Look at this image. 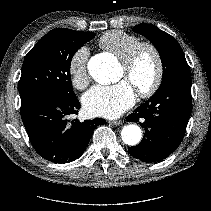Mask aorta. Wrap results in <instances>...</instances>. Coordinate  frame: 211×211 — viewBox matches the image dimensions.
I'll list each match as a JSON object with an SVG mask.
<instances>
[{
  "label": "aorta",
  "mask_w": 211,
  "mask_h": 211,
  "mask_svg": "<svg viewBox=\"0 0 211 211\" xmlns=\"http://www.w3.org/2000/svg\"><path fill=\"white\" fill-rule=\"evenodd\" d=\"M88 68L90 75L100 84H110L117 80L112 64L102 60L100 57L92 58ZM121 136L125 144L135 146L141 141L142 132L137 125L130 124L122 129Z\"/></svg>",
  "instance_id": "aorta-1"
}]
</instances>
